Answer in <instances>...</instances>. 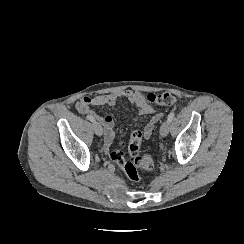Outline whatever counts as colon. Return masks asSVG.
Listing matches in <instances>:
<instances>
[{"label":"colon","mask_w":244,"mask_h":244,"mask_svg":"<svg viewBox=\"0 0 244 244\" xmlns=\"http://www.w3.org/2000/svg\"><path fill=\"white\" fill-rule=\"evenodd\" d=\"M145 101L151 105L172 106L178 103L177 96L168 93H148ZM143 143V135L140 130L132 131L127 145L129 160H125L123 148L125 143L119 141L117 147L112 149L110 160L118 165L130 182L137 183L142 179V174L151 170L154 166V158L151 154L141 153L140 148ZM142 172V173H141Z\"/></svg>","instance_id":"obj_1"}]
</instances>
